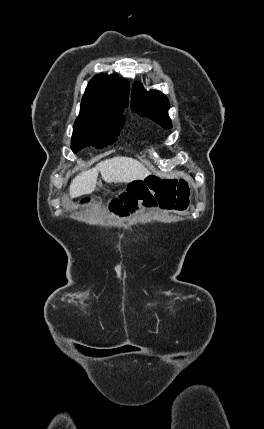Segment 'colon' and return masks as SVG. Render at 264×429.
Returning a JSON list of instances; mask_svg holds the SVG:
<instances>
[{
	"instance_id": "colon-1",
	"label": "colon",
	"mask_w": 264,
	"mask_h": 429,
	"mask_svg": "<svg viewBox=\"0 0 264 429\" xmlns=\"http://www.w3.org/2000/svg\"><path fill=\"white\" fill-rule=\"evenodd\" d=\"M189 196L190 188L185 182L136 181L110 202L109 209L121 217L129 215L141 207L157 205L165 209L184 210L189 204Z\"/></svg>"
}]
</instances>
